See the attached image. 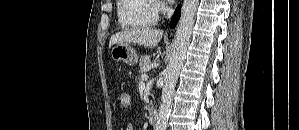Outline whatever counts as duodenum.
Returning a JSON list of instances; mask_svg holds the SVG:
<instances>
[{
  "mask_svg": "<svg viewBox=\"0 0 299 130\" xmlns=\"http://www.w3.org/2000/svg\"><path fill=\"white\" fill-rule=\"evenodd\" d=\"M157 121V111L155 109H150L148 113V122L154 125Z\"/></svg>",
  "mask_w": 299,
  "mask_h": 130,
  "instance_id": "410a0bca",
  "label": "duodenum"
}]
</instances>
